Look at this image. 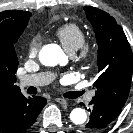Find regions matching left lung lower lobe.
<instances>
[{
  "label": "left lung lower lobe",
  "mask_w": 133,
  "mask_h": 133,
  "mask_svg": "<svg viewBox=\"0 0 133 133\" xmlns=\"http://www.w3.org/2000/svg\"><path fill=\"white\" fill-rule=\"evenodd\" d=\"M89 105L91 106L89 108L91 116L89 122L82 127L84 133H98L106 129L123 108L100 97H93Z\"/></svg>",
  "instance_id": "obj_1"
}]
</instances>
